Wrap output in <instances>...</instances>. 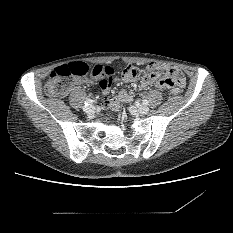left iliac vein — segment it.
Instances as JSON below:
<instances>
[{"label":"left iliac vein","mask_w":233,"mask_h":233,"mask_svg":"<svg viewBox=\"0 0 233 233\" xmlns=\"http://www.w3.org/2000/svg\"><path fill=\"white\" fill-rule=\"evenodd\" d=\"M132 112H137L139 114H147L149 112V107L143 104L135 105L131 107Z\"/></svg>","instance_id":"obj_1"}]
</instances>
